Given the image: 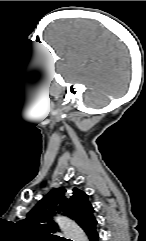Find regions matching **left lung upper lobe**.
Returning a JSON list of instances; mask_svg holds the SVG:
<instances>
[{"label":"left lung upper lobe","instance_id":"left-lung-upper-lobe-1","mask_svg":"<svg viewBox=\"0 0 146 241\" xmlns=\"http://www.w3.org/2000/svg\"><path fill=\"white\" fill-rule=\"evenodd\" d=\"M93 207L88 195L78 189L66 190L64 187L50 191L21 221L24 229L35 233L37 238L45 241H61L62 238L53 235L59 230L53 221L57 213L73 219L81 228L95 220Z\"/></svg>","mask_w":146,"mask_h":241}]
</instances>
